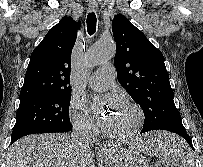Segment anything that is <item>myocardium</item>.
Instances as JSON below:
<instances>
[{"label":"myocardium","instance_id":"obj_1","mask_svg":"<svg viewBox=\"0 0 203 167\" xmlns=\"http://www.w3.org/2000/svg\"><path fill=\"white\" fill-rule=\"evenodd\" d=\"M124 105L131 110L136 118L135 124L131 130H129L126 133L118 134V133H113L109 131L108 129L104 128V132L112 139L118 140V141H126L138 134V132L141 130L143 123H144V114L142 110L135 104L125 101Z\"/></svg>","mask_w":203,"mask_h":167}]
</instances>
